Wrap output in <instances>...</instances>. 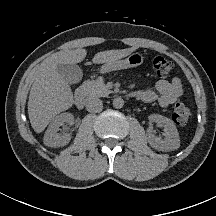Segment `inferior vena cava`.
Segmentation results:
<instances>
[{
  "mask_svg": "<svg viewBox=\"0 0 216 216\" xmlns=\"http://www.w3.org/2000/svg\"><path fill=\"white\" fill-rule=\"evenodd\" d=\"M103 104L99 98H90L87 101L86 109L89 112H99L102 110Z\"/></svg>",
  "mask_w": 216,
  "mask_h": 216,
  "instance_id": "inferior-vena-cava-1",
  "label": "inferior vena cava"
}]
</instances>
